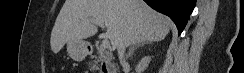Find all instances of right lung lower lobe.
I'll list each match as a JSON object with an SVG mask.
<instances>
[{
    "mask_svg": "<svg viewBox=\"0 0 244 73\" xmlns=\"http://www.w3.org/2000/svg\"><path fill=\"white\" fill-rule=\"evenodd\" d=\"M153 9L169 16L177 26L179 34L185 28L196 0H144Z\"/></svg>",
    "mask_w": 244,
    "mask_h": 73,
    "instance_id": "1",
    "label": "right lung lower lobe"
}]
</instances>
